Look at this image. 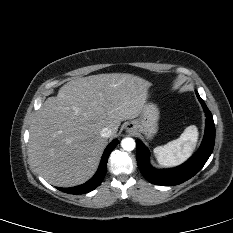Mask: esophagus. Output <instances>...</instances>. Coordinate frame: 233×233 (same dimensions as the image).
<instances>
[{
	"instance_id": "esophagus-1",
	"label": "esophagus",
	"mask_w": 233,
	"mask_h": 233,
	"mask_svg": "<svg viewBox=\"0 0 233 233\" xmlns=\"http://www.w3.org/2000/svg\"><path fill=\"white\" fill-rule=\"evenodd\" d=\"M129 129H132V127H131V126H129Z\"/></svg>"
}]
</instances>
